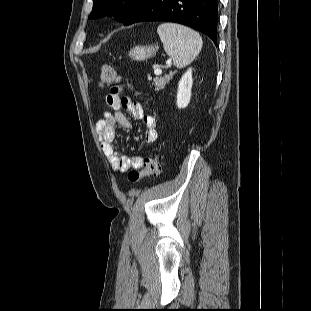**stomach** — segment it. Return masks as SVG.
<instances>
[{"mask_svg":"<svg viewBox=\"0 0 311 311\" xmlns=\"http://www.w3.org/2000/svg\"><path fill=\"white\" fill-rule=\"evenodd\" d=\"M158 50L157 46L153 45H146V46H135L133 49L130 50L129 56L131 59L136 60V61H143L145 59H148L156 53Z\"/></svg>","mask_w":311,"mask_h":311,"instance_id":"stomach-1","label":"stomach"}]
</instances>
